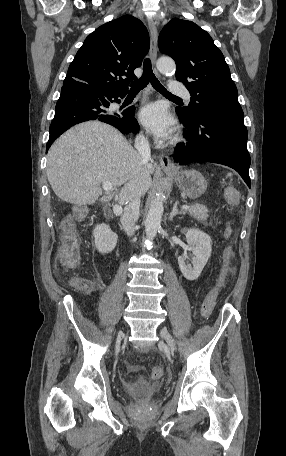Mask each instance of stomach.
<instances>
[{
    "label": "stomach",
    "mask_w": 286,
    "mask_h": 456,
    "mask_svg": "<svg viewBox=\"0 0 286 456\" xmlns=\"http://www.w3.org/2000/svg\"><path fill=\"white\" fill-rule=\"evenodd\" d=\"M171 177L179 189L191 199L200 197L207 189L206 179L197 170L180 171L177 174L171 175Z\"/></svg>",
    "instance_id": "stomach-1"
}]
</instances>
